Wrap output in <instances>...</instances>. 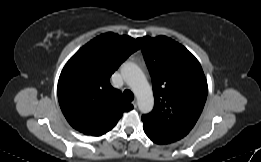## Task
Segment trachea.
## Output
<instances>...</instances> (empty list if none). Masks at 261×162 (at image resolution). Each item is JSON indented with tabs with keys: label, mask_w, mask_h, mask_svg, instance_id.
I'll list each match as a JSON object with an SVG mask.
<instances>
[{
	"label": "trachea",
	"mask_w": 261,
	"mask_h": 162,
	"mask_svg": "<svg viewBox=\"0 0 261 162\" xmlns=\"http://www.w3.org/2000/svg\"><path fill=\"white\" fill-rule=\"evenodd\" d=\"M123 98L127 102H131L134 99V95H133V93L130 90L126 89L123 92Z\"/></svg>",
	"instance_id": "1"
}]
</instances>
